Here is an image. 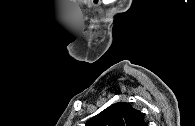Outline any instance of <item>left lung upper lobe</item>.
Instances as JSON below:
<instances>
[{"label":"left lung upper lobe","mask_w":195,"mask_h":126,"mask_svg":"<svg viewBox=\"0 0 195 126\" xmlns=\"http://www.w3.org/2000/svg\"><path fill=\"white\" fill-rule=\"evenodd\" d=\"M86 126H147L143 113L130 103L112 104L87 121Z\"/></svg>","instance_id":"1"}]
</instances>
